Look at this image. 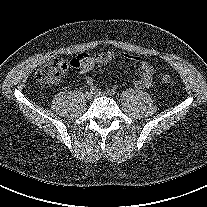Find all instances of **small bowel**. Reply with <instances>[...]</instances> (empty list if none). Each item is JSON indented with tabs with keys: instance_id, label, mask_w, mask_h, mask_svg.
<instances>
[{
	"instance_id": "1",
	"label": "small bowel",
	"mask_w": 207,
	"mask_h": 207,
	"mask_svg": "<svg viewBox=\"0 0 207 207\" xmlns=\"http://www.w3.org/2000/svg\"><path fill=\"white\" fill-rule=\"evenodd\" d=\"M118 56L131 60L139 67L140 75L134 82V86L137 89L148 88L151 85L153 79V68L148 62L137 56L117 54L112 51H105L96 55L79 54L71 60L70 65L78 74H86L95 66L107 64ZM86 81L88 84H93V79L91 77H87Z\"/></svg>"
}]
</instances>
